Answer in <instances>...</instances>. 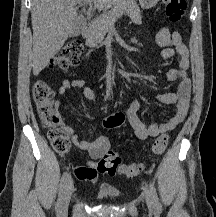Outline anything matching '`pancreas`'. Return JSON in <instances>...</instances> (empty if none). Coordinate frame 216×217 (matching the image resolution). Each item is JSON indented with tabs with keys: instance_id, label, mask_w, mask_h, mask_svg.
I'll return each mask as SVG.
<instances>
[{
	"instance_id": "obj_1",
	"label": "pancreas",
	"mask_w": 216,
	"mask_h": 217,
	"mask_svg": "<svg viewBox=\"0 0 216 217\" xmlns=\"http://www.w3.org/2000/svg\"><path fill=\"white\" fill-rule=\"evenodd\" d=\"M123 14L128 15L137 24L142 23L140 9L135 0H122L110 11L99 16L90 24L85 35L87 45L89 47H96L98 43H101L117 19Z\"/></svg>"
}]
</instances>
